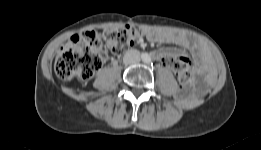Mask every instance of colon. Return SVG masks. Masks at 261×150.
Here are the masks:
<instances>
[{
    "label": "colon",
    "mask_w": 261,
    "mask_h": 150,
    "mask_svg": "<svg viewBox=\"0 0 261 150\" xmlns=\"http://www.w3.org/2000/svg\"><path fill=\"white\" fill-rule=\"evenodd\" d=\"M141 30L132 25H124L94 32L84 36H73L59 50L54 70L61 80L88 79L101 67L107 53L121 55L130 49L141 37ZM104 43V46L102 45ZM175 71L182 84L191 79V59L175 52L162 62Z\"/></svg>",
    "instance_id": "obj_1"
}]
</instances>
